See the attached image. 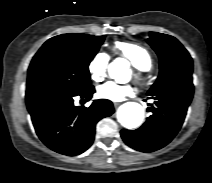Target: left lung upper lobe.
Returning <instances> with one entry per match:
<instances>
[{
    "label": "left lung upper lobe",
    "instance_id": "1",
    "mask_svg": "<svg viewBox=\"0 0 212 183\" xmlns=\"http://www.w3.org/2000/svg\"><path fill=\"white\" fill-rule=\"evenodd\" d=\"M147 42L158 54L160 60V73L150 90L170 81L192 76V58L176 38L162 33L150 32Z\"/></svg>",
    "mask_w": 212,
    "mask_h": 183
}]
</instances>
